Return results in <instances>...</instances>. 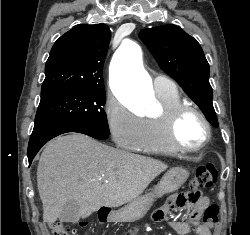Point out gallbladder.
Segmentation results:
<instances>
[{
	"instance_id": "1",
	"label": "gallbladder",
	"mask_w": 250,
	"mask_h": 235,
	"mask_svg": "<svg viewBox=\"0 0 250 235\" xmlns=\"http://www.w3.org/2000/svg\"><path fill=\"white\" fill-rule=\"evenodd\" d=\"M79 204L75 201H69L65 204L60 216L62 222H76L79 220Z\"/></svg>"
}]
</instances>
